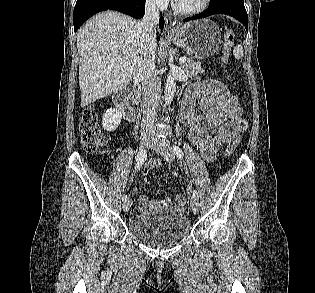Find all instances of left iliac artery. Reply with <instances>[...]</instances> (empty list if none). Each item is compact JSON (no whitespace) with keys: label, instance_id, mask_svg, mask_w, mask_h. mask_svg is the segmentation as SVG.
<instances>
[{"label":"left iliac artery","instance_id":"obj_1","mask_svg":"<svg viewBox=\"0 0 315 293\" xmlns=\"http://www.w3.org/2000/svg\"><path fill=\"white\" fill-rule=\"evenodd\" d=\"M173 152L179 159L183 158V151L179 146L174 145L173 146ZM193 198L196 200H199V194L196 190L193 191Z\"/></svg>","mask_w":315,"mask_h":293}]
</instances>
